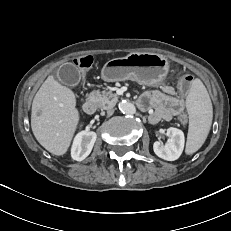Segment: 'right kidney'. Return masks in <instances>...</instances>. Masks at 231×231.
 I'll return each instance as SVG.
<instances>
[{
  "instance_id": "right-kidney-1",
  "label": "right kidney",
  "mask_w": 231,
  "mask_h": 231,
  "mask_svg": "<svg viewBox=\"0 0 231 231\" xmlns=\"http://www.w3.org/2000/svg\"><path fill=\"white\" fill-rule=\"evenodd\" d=\"M97 135L93 131H81L74 138L71 156L76 161L84 160L92 151Z\"/></svg>"
}]
</instances>
